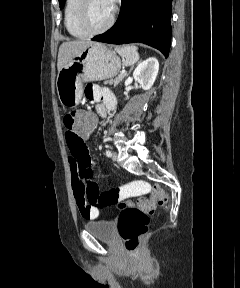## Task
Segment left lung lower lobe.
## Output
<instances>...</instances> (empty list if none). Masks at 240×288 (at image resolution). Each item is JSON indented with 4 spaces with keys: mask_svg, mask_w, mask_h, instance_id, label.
Listing matches in <instances>:
<instances>
[{
    "mask_svg": "<svg viewBox=\"0 0 240 288\" xmlns=\"http://www.w3.org/2000/svg\"><path fill=\"white\" fill-rule=\"evenodd\" d=\"M116 23L92 40L123 44L141 42L169 55L172 0H121Z\"/></svg>",
    "mask_w": 240,
    "mask_h": 288,
    "instance_id": "obj_1",
    "label": "left lung lower lobe"
}]
</instances>
